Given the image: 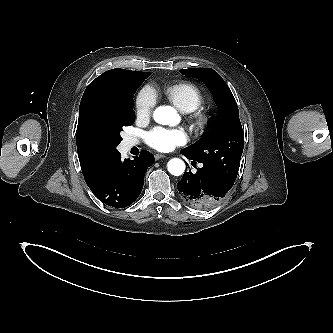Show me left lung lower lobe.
<instances>
[{"mask_svg":"<svg viewBox=\"0 0 333 333\" xmlns=\"http://www.w3.org/2000/svg\"><path fill=\"white\" fill-rule=\"evenodd\" d=\"M181 153L193 160L182 150ZM192 162L195 163V160ZM197 170L195 174L185 172L177 188L182 200L188 205L198 209H210L225 197L234 183L204 164Z\"/></svg>","mask_w":333,"mask_h":333,"instance_id":"1","label":"left lung lower lobe"}]
</instances>
